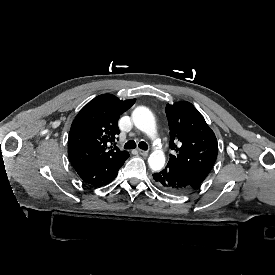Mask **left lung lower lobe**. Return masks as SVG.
Masks as SVG:
<instances>
[{
  "instance_id": "0a47b994",
  "label": "left lung lower lobe",
  "mask_w": 275,
  "mask_h": 275,
  "mask_svg": "<svg viewBox=\"0 0 275 275\" xmlns=\"http://www.w3.org/2000/svg\"><path fill=\"white\" fill-rule=\"evenodd\" d=\"M153 178L159 188L172 194L181 195L193 190L188 182L169 166L153 174Z\"/></svg>"
}]
</instances>
